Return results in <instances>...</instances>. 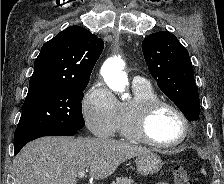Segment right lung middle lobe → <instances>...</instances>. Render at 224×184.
<instances>
[{"label": "right lung middle lobe", "instance_id": "dd1d6c3e", "mask_svg": "<svg viewBox=\"0 0 224 184\" xmlns=\"http://www.w3.org/2000/svg\"><path fill=\"white\" fill-rule=\"evenodd\" d=\"M86 86L44 84L29 87L14 143L35 132L52 129L78 131L84 127L81 101Z\"/></svg>", "mask_w": 224, "mask_h": 184}]
</instances>
